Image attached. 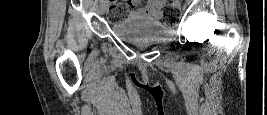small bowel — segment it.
Returning a JSON list of instances; mask_svg holds the SVG:
<instances>
[{
  "label": "small bowel",
  "instance_id": "obj_1",
  "mask_svg": "<svg viewBox=\"0 0 267 115\" xmlns=\"http://www.w3.org/2000/svg\"><path fill=\"white\" fill-rule=\"evenodd\" d=\"M164 3V0H149L145 6L138 7L139 2L133 1L132 14L135 16H150L152 18H157L160 14V8Z\"/></svg>",
  "mask_w": 267,
  "mask_h": 115
}]
</instances>
